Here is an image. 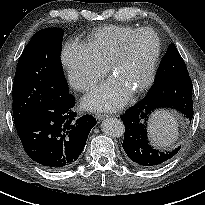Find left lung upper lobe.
Returning <instances> with one entry per match:
<instances>
[{
    "label": "left lung upper lobe",
    "mask_w": 205,
    "mask_h": 205,
    "mask_svg": "<svg viewBox=\"0 0 205 205\" xmlns=\"http://www.w3.org/2000/svg\"><path fill=\"white\" fill-rule=\"evenodd\" d=\"M183 75H189L186 64L175 45L171 43L159 66L154 84Z\"/></svg>",
    "instance_id": "5c2ea615"
}]
</instances>
